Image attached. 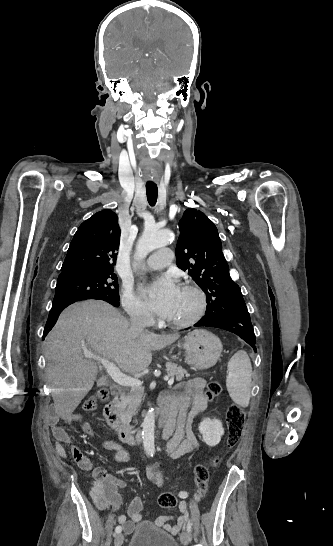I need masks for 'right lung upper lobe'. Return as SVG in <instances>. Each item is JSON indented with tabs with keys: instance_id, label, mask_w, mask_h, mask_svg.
Listing matches in <instances>:
<instances>
[{
	"instance_id": "1",
	"label": "right lung upper lobe",
	"mask_w": 333,
	"mask_h": 546,
	"mask_svg": "<svg viewBox=\"0 0 333 546\" xmlns=\"http://www.w3.org/2000/svg\"><path fill=\"white\" fill-rule=\"evenodd\" d=\"M119 241L117 215L109 209L97 212L76 231L59 276L74 272L113 271Z\"/></svg>"
}]
</instances>
